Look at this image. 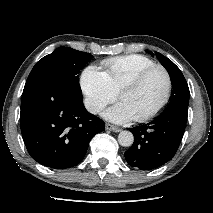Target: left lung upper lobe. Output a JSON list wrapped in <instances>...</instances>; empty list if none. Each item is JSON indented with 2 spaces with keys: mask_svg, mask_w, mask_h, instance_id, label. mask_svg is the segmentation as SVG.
Listing matches in <instances>:
<instances>
[{
  "mask_svg": "<svg viewBox=\"0 0 213 213\" xmlns=\"http://www.w3.org/2000/svg\"><path fill=\"white\" fill-rule=\"evenodd\" d=\"M151 55L153 53L149 52ZM161 64L166 68L168 71L171 82L173 85V93L171 95L170 102L166 109L170 108H180L183 110H188L189 104V88L188 84L180 71V69L167 57L163 56L160 53H156Z\"/></svg>",
  "mask_w": 213,
  "mask_h": 213,
  "instance_id": "5c2ea615",
  "label": "left lung upper lobe"
}]
</instances>
